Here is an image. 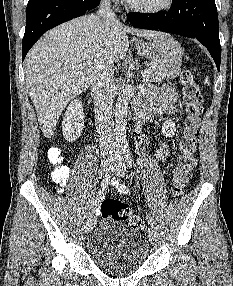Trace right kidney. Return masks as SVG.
<instances>
[{
  "instance_id": "ca27d5eb",
  "label": "right kidney",
  "mask_w": 233,
  "mask_h": 286,
  "mask_svg": "<svg viewBox=\"0 0 233 286\" xmlns=\"http://www.w3.org/2000/svg\"><path fill=\"white\" fill-rule=\"evenodd\" d=\"M84 126V113L82 103L74 99L68 106L63 120V136L68 142H73L79 138Z\"/></svg>"
}]
</instances>
